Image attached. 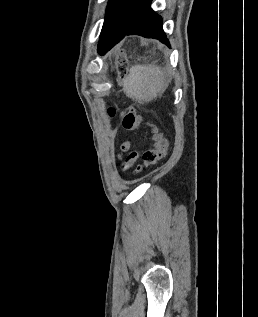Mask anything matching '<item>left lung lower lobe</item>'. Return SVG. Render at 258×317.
<instances>
[{"mask_svg":"<svg viewBox=\"0 0 258 317\" xmlns=\"http://www.w3.org/2000/svg\"><path fill=\"white\" fill-rule=\"evenodd\" d=\"M152 0H132L128 8V17L121 29L102 28L98 43V52L104 55L125 35H141L155 38L170 47L162 28V18L150 7Z\"/></svg>","mask_w":258,"mask_h":317,"instance_id":"0a47b994","label":"left lung lower lobe"}]
</instances>
